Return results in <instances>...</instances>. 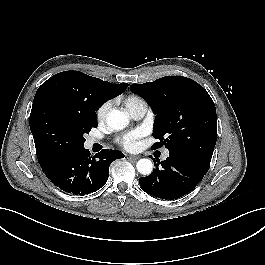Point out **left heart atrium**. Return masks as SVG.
<instances>
[{"label":"left heart atrium","instance_id":"left-heart-atrium-1","mask_svg":"<svg viewBox=\"0 0 265 265\" xmlns=\"http://www.w3.org/2000/svg\"><path fill=\"white\" fill-rule=\"evenodd\" d=\"M141 136H142V132L140 130L132 131L122 136L119 139V143L123 148L127 150H133L137 147V140Z\"/></svg>","mask_w":265,"mask_h":265}]
</instances>
